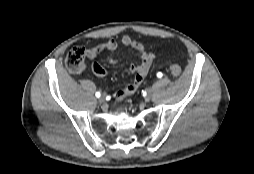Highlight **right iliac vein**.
<instances>
[{
	"instance_id": "63e3f726",
	"label": "right iliac vein",
	"mask_w": 254,
	"mask_h": 174,
	"mask_svg": "<svg viewBox=\"0 0 254 174\" xmlns=\"http://www.w3.org/2000/svg\"><path fill=\"white\" fill-rule=\"evenodd\" d=\"M99 101H100L101 103L105 102V96H104V95L100 96V97H99Z\"/></svg>"
}]
</instances>
